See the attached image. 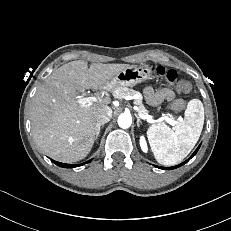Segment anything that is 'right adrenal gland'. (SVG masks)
Returning a JSON list of instances; mask_svg holds the SVG:
<instances>
[{
  "label": "right adrenal gland",
  "instance_id": "2a0ac1e0",
  "mask_svg": "<svg viewBox=\"0 0 231 231\" xmlns=\"http://www.w3.org/2000/svg\"><path fill=\"white\" fill-rule=\"evenodd\" d=\"M104 124H98L97 125V129H96V140L99 137L100 131H101V126H103Z\"/></svg>",
  "mask_w": 231,
  "mask_h": 231
}]
</instances>
